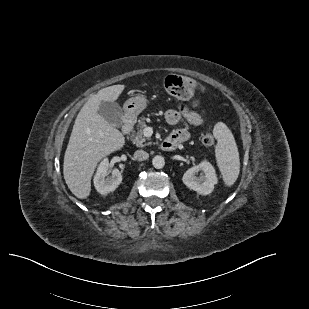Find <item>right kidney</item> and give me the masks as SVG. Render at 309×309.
<instances>
[{
	"label": "right kidney",
	"mask_w": 309,
	"mask_h": 309,
	"mask_svg": "<svg viewBox=\"0 0 309 309\" xmlns=\"http://www.w3.org/2000/svg\"><path fill=\"white\" fill-rule=\"evenodd\" d=\"M111 173V176H108ZM95 189L102 195L113 192L122 181L121 172L114 168L112 169L108 159H104L98 166L94 177Z\"/></svg>",
	"instance_id": "ca27d5eb"
}]
</instances>
